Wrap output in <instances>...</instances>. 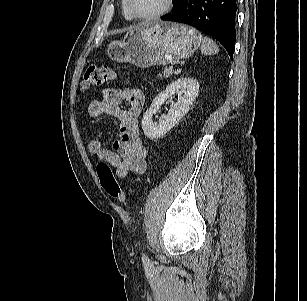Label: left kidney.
I'll return each instance as SVG.
<instances>
[{"instance_id":"5707ae66","label":"left kidney","mask_w":307,"mask_h":301,"mask_svg":"<svg viewBox=\"0 0 307 301\" xmlns=\"http://www.w3.org/2000/svg\"><path fill=\"white\" fill-rule=\"evenodd\" d=\"M199 92V82L186 77L178 78L173 81L164 91L159 93L153 100L149 109L142 118V129L149 139H158L164 136L174 127L182 117L189 111ZM178 93L180 98L176 103H171L168 114L159 118V123H153V115L159 110L160 106Z\"/></svg>"}]
</instances>
